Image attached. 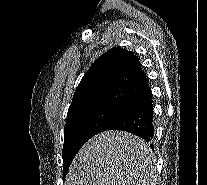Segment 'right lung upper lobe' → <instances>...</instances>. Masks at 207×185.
<instances>
[{"label":"right lung upper lobe","mask_w":207,"mask_h":185,"mask_svg":"<svg viewBox=\"0 0 207 185\" xmlns=\"http://www.w3.org/2000/svg\"><path fill=\"white\" fill-rule=\"evenodd\" d=\"M148 89L138 58L123 48H112L101 55L83 76L67 117L99 106L123 110Z\"/></svg>","instance_id":"cb5924a9"}]
</instances>
